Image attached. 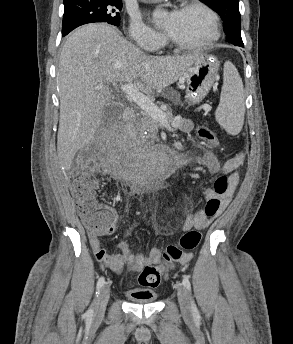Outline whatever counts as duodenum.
<instances>
[{
    "mask_svg": "<svg viewBox=\"0 0 293 344\" xmlns=\"http://www.w3.org/2000/svg\"><path fill=\"white\" fill-rule=\"evenodd\" d=\"M133 120V113L128 111L124 115V121L126 123ZM171 161L174 167L178 168L188 163L189 158L185 153L172 152Z\"/></svg>",
    "mask_w": 293,
    "mask_h": 344,
    "instance_id": "obj_1",
    "label": "duodenum"
}]
</instances>
